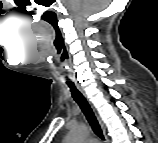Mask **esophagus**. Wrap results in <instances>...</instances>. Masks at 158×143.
I'll list each match as a JSON object with an SVG mask.
<instances>
[{"mask_svg":"<svg viewBox=\"0 0 158 143\" xmlns=\"http://www.w3.org/2000/svg\"><path fill=\"white\" fill-rule=\"evenodd\" d=\"M77 88L81 91V93L83 94V91H82V89L79 87V86H77Z\"/></svg>","mask_w":158,"mask_h":143,"instance_id":"34e87169","label":"esophagus"}]
</instances>
